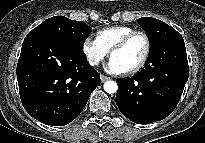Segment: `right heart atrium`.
Returning <instances> with one entry per match:
<instances>
[{
  "instance_id": "1",
  "label": "right heart atrium",
  "mask_w": 205,
  "mask_h": 143,
  "mask_svg": "<svg viewBox=\"0 0 205 143\" xmlns=\"http://www.w3.org/2000/svg\"><path fill=\"white\" fill-rule=\"evenodd\" d=\"M82 51L91 66L99 65L108 55V51L97 39L86 37L82 44Z\"/></svg>"
}]
</instances>
